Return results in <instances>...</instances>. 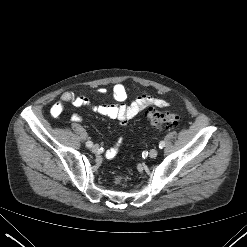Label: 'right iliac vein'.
I'll list each match as a JSON object with an SVG mask.
<instances>
[{"label": "right iliac vein", "instance_id": "right-iliac-vein-1", "mask_svg": "<svg viewBox=\"0 0 247 247\" xmlns=\"http://www.w3.org/2000/svg\"><path fill=\"white\" fill-rule=\"evenodd\" d=\"M98 150H99V146L97 144L92 146V152L97 153Z\"/></svg>", "mask_w": 247, "mask_h": 247}]
</instances>
